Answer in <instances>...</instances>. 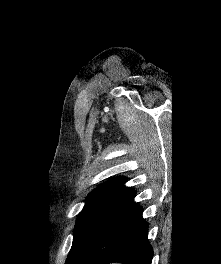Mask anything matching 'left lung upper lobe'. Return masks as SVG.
Returning <instances> with one entry per match:
<instances>
[{
	"label": "left lung upper lobe",
	"instance_id": "obj_1",
	"mask_svg": "<svg viewBox=\"0 0 221 264\" xmlns=\"http://www.w3.org/2000/svg\"><path fill=\"white\" fill-rule=\"evenodd\" d=\"M125 182V177H115L89 194L77 218L72 250L111 210L134 192L132 188L123 186Z\"/></svg>",
	"mask_w": 221,
	"mask_h": 264
}]
</instances>
